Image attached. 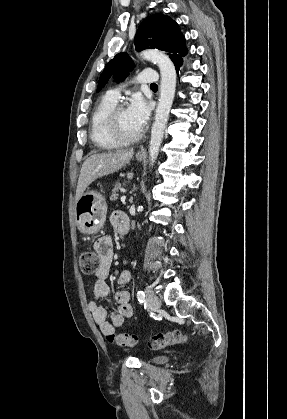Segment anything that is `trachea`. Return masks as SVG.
Wrapping results in <instances>:
<instances>
[{
  "label": "trachea",
  "mask_w": 287,
  "mask_h": 419,
  "mask_svg": "<svg viewBox=\"0 0 287 419\" xmlns=\"http://www.w3.org/2000/svg\"><path fill=\"white\" fill-rule=\"evenodd\" d=\"M151 87H157V85L156 84H151Z\"/></svg>",
  "instance_id": "trachea-1"
}]
</instances>
